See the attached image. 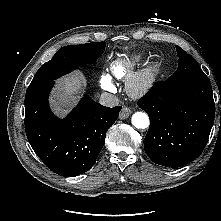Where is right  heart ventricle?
Returning a JSON list of instances; mask_svg holds the SVG:
<instances>
[{
  "label": "right heart ventricle",
  "mask_w": 221,
  "mask_h": 221,
  "mask_svg": "<svg viewBox=\"0 0 221 221\" xmlns=\"http://www.w3.org/2000/svg\"><path fill=\"white\" fill-rule=\"evenodd\" d=\"M133 65L134 63H129L123 59H117L111 64L110 71L117 79H124L130 74Z\"/></svg>",
  "instance_id": "right-heart-ventricle-1"
}]
</instances>
